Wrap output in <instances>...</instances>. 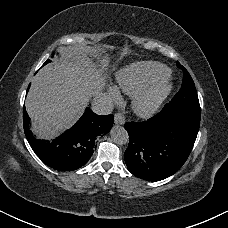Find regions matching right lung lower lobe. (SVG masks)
<instances>
[{"label":"right lung lower lobe","mask_w":228,"mask_h":228,"mask_svg":"<svg viewBox=\"0 0 228 228\" xmlns=\"http://www.w3.org/2000/svg\"><path fill=\"white\" fill-rule=\"evenodd\" d=\"M114 117L97 115L86 108L78 122L64 134L48 142L35 139L29 131V117L23 109V124L26 138L37 156L49 167L58 171L76 170L93 154L95 138L106 134L113 126Z\"/></svg>","instance_id":"1"}]
</instances>
